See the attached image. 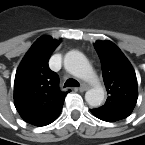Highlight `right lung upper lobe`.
<instances>
[{
  "mask_svg": "<svg viewBox=\"0 0 145 145\" xmlns=\"http://www.w3.org/2000/svg\"><path fill=\"white\" fill-rule=\"evenodd\" d=\"M50 36L34 42L15 76V107L24 121L35 126L52 123L60 114L67 92L58 87V76L48 67L50 55L59 45Z\"/></svg>",
  "mask_w": 145,
  "mask_h": 145,
  "instance_id": "obj_1",
  "label": "right lung upper lobe"
}]
</instances>
